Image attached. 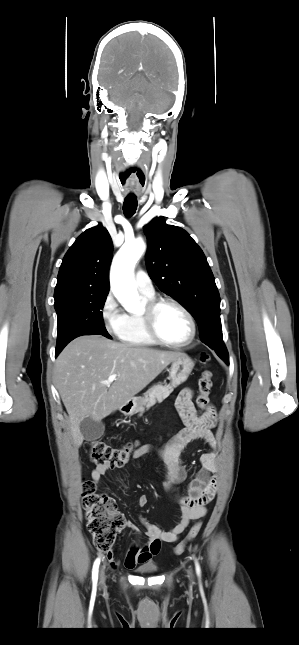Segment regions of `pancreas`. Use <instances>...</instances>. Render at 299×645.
Listing matches in <instances>:
<instances>
[{"label": "pancreas", "mask_w": 299, "mask_h": 645, "mask_svg": "<svg viewBox=\"0 0 299 645\" xmlns=\"http://www.w3.org/2000/svg\"><path fill=\"white\" fill-rule=\"evenodd\" d=\"M174 386L173 385H162L158 384L153 387H151L145 394L144 397V402L147 408H150L153 406L156 402H162L165 398H167L170 393L173 391ZM139 412L141 414L144 412V408L142 407Z\"/></svg>", "instance_id": "cf45deb5"}]
</instances>
